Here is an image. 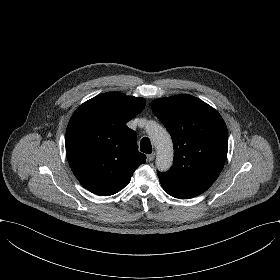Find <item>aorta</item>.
Here are the masks:
<instances>
[{"label": "aorta", "instance_id": "obj_1", "mask_svg": "<svg viewBox=\"0 0 280 280\" xmlns=\"http://www.w3.org/2000/svg\"><path fill=\"white\" fill-rule=\"evenodd\" d=\"M150 140L156 148V166L160 171H166L173 161V144L169 133L160 125L154 124L148 127Z\"/></svg>", "mask_w": 280, "mask_h": 280}]
</instances>
